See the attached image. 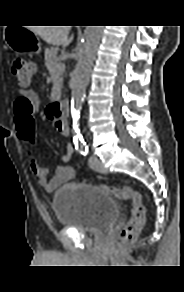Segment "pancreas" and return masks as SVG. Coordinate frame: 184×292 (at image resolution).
Wrapping results in <instances>:
<instances>
[{"label":"pancreas","mask_w":184,"mask_h":292,"mask_svg":"<svg viewBox=\"0 0 184 292\" xmlns=\"http://www.w3.org/2000/svg\"><path fill=\"white\" fill-rule=\"evenodd\" d=\"M58 48L50 47L45 50V65L51 75L52 78H55L53 81V91H55L58 87H61L62 84V75L63 70H59L58 66L62 63L59 61L57 57Z\"/></svg>","instance_id":"obj_1"}]
</instances>
